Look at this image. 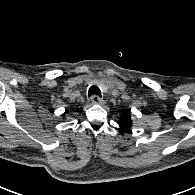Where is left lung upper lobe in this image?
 <instances>
[{
	"mask_svg": "<svg viewBox=\"0 0 195 195\" xmlns=\"http://www.w3.org/2000/svg\"><path fill=\"white\" fill-rule=\"evenodd\" d=\"M131 119H130V112L129 110H126L123 112L119 117V126L122 129H129L131 127Z\"/></svg>",
	"mask_w": 195,
	"mask_h": 195,
	"instance_id": "5c2ea615",
	"label": "left lung upper lobe"
}]
</instances>
